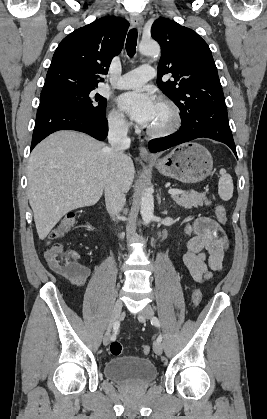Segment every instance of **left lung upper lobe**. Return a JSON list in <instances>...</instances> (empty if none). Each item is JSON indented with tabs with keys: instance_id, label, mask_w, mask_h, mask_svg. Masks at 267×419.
I'll use <instances>...</instances> for the list:
<instances>
[{
	"instance_id": "5c2ea615",
	"label": "left lung upper lobe",
	"mask_w": 267,
	"mask_h": 419,
	"mask_svg": "<svg viewBox=\"0 0 267 419\" xmlns=\"http://www.w3.org/2000/svg\"><path fill=\"white\" fill-rule=\"evenodd\" d=\"M151 36L161 46L157 85L178 106L182 122L199 112L227 110L209 46L195 31L160 18ZM168 73L173 79L163 82Z\"/></svg>"
}]
</instances>
